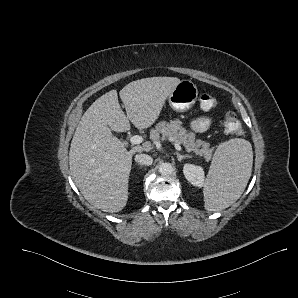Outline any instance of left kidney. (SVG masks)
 <instances>
[{
  "mask_svg": "<svg viewBox=\"0 0 298 298\" xmlns=\"http://www.w3.org/2000/svg\"><path fill=\"white\" fill-rule=\"evenodd\" d=\"M183 174L186 180L196 187H203L205 172L203 167L199 165L186 163L183 166Z\"/></svg>",
  "mask_w": 298,
  "mask_h": 298,
  "instance_id": "1",
  "label": "left kidney"
}]
</instances>
